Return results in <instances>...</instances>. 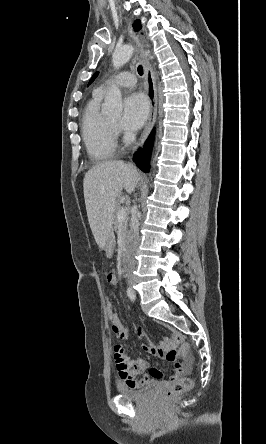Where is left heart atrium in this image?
Instances as JSON below:
<instances>
[{"label": "left heart atrium", "mask_w": 266, "mask_h": 444, "mask_svg": "<svg viewBox=\"0 0 266 444\" xmlns=\"http://www.w3.org/2000/svg\"><path fill=\"white\" fill-rule=\"evenodd\" d=\"M149 113V104L141 93L130 94L124 101L123 116L120 125L128 131L138 130L145 123Z\"/></svg>", "instance_id": "1"}]
</instances>
